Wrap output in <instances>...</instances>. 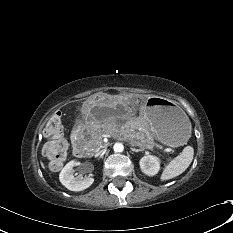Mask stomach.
Returning <instances> with one entry per match:
<instances>
[{
  "label": "stomach",
  "mask_w": 233,
  "mask_h": 233,
  "mask_svg": "<svg viewBox=\"0 0 233 233\" xmlns=\"http://www.w3.org/2000/svg\"><path fill=\"white\" fill-rule=\"evenodd\" d=\"M140 107V100L128 93L93 96L84 104V116L96 123L109 119L120 121L129 118ZM143 116L150 132L161 143L178 147L189 138L191 123L185 113L171 100L152 96L148 99Z\"/></svg>",
  "instance_id": "1"
}]
</instances>
